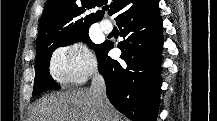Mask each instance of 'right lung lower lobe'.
<instances>
[{
    "mask_svg": "<svg viewBox=\"0 0 217 121\" xmlns=\"http://www.w3.org/2000/svg\"><path fill=\"white\" fill-rule=\"evenodd\" d=\"M121 36L118 45L122 61L108 52L104 42L98 59L99 72L106 82L110 102L133 121H155L160 103V64L163 45L162 19L158 0H132L116 19Z\"/></svg>",
    "mask_w": 217,
    "mask_h": 121,
    "instance_id": "obj_1",
    "label": "right lung lower lobe"
}]
</instances>
